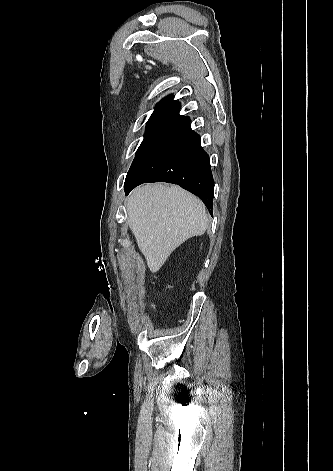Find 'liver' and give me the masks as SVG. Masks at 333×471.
<instances>
[{
    "instance_id": "1",
    "label": "liver",
    "mask_w": 333,
    "mask_h": 471,
    "mask_svg": "<svg viewBox=\"0 0 333 471\" xmlns=\"http://www.w3.org/2000/svg\"><path fill=\"white\" fill-rule=\"evenodd\" d=\"M129 228L151 272H157L170 254L208 227L201 200L179 186L146 184L127 198Z\"/></svg>"
}]
</instances>
